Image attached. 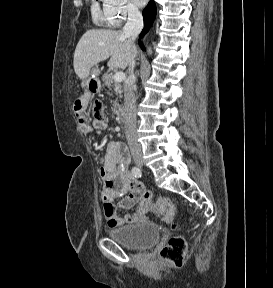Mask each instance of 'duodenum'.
<instances>
[{"label":"duodenum","instance_id":"1","mask_svg":"<svg viewBox=\"0 0 273 288\" xmlns=\"http://www.w3.org/2000/svg\"><path fill=\"white\" fill-rule=\"evenodd\" d=\"M117 118L120 122H125L126 120V111L123 107H118L116 110Z\"/></svg>","mask_w":273,"mask_h":288}]
</instances>
